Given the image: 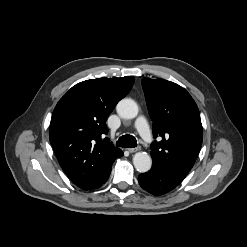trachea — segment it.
<instances>
[{
    "label": "trachea",
    "instance_id": "trachea-1",
    "mask_svg": "<svg viewBox=\"0 0 247 247\" xmlns=\"http://www.w3.org/2000/svg\"><path fill=\"white\" fill-rule=\"evenodd\" d=\"M116 146L123 148H134L137 146V140L132 135H123L116 142Z\"/></svg>",
    "mask_w": 247,
    "mask_h": 247
}]
</instances>
